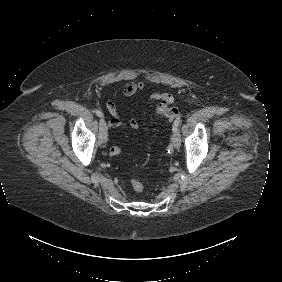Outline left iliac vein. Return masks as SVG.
Masks as SVG:
<instances>
[{"label": "left iliac vein", "instance_id": "obj_1", "mask_svg": "<svg viewBox=\"0 0 282 282\" xmlns=\"http://www.w3.org/2000/svg\"><path fill=\"white\" fill-rule=\"evenodd\" d=\"M172 143L175 149H178L181 145V135H180V131L176 130L173 131L172 134Z\"/></svg>", "mask_w": 282, "mask_h": 282}]
</instances>
